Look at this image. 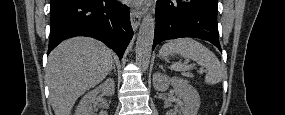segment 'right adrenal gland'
<instances>
[{
  "label": "right adrenal gland",
  "mask_w": 285,
  "mask_h": 115,
  "mask_svg": "<svg viewBox=\"0 0 285 115\" xmlns=\"http://www.w3.org/2000/svg\"><path fill=\"white\" fill-rule=\"evenodd\" d=\"M112 70H114V72H116V68H115V64L114 63H113V66H112ZM111 71L109 72V75L111 74Z\"/></svg>",
  "instance_id": "obj_1"
}]
</instances>
